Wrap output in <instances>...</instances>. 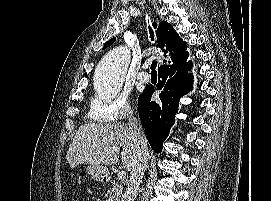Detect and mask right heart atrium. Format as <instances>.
<instances>
[{
    "instance_id": "1",
    "label": "right heart atrium",
    "mask_w": 271,
    "mask_h": 201,
    "mask_svg": "<svg viewBox=\"0 0 271 201\" xmlns=\"http://www.w3.org/2000/svg\"><path fill=\"white\" fill-rule=\"evenodd\" d=\"M132 108L128 98L123 95H114L106 99L96 95L89 111V117L95 120H104L114 123H121L131 117Z\"/></svg>"
}]
</instances>
